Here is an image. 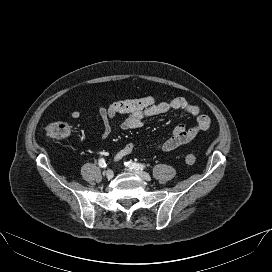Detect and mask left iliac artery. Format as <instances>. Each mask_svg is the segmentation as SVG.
I'll use <instances>...</instances> for the list:
<instances>
[{"label":"left iliac artery","instance_id":"44dca946","mask_svg":"<svg viewBox=\"0 0 272 272\" xmlns=\"http://www.w3.org/2000/svg\"><path fill=\"white\" fill-rule=\"evenodd\" d=\"M127 167L130 169H136V170H143L145 168V165L140 164V163H135L132 161H127L124 163Z\"/></svg>","mask_w":272,"mask_h":272}]
</instances>
